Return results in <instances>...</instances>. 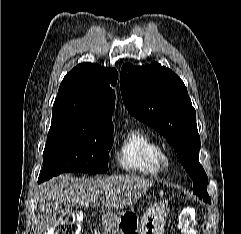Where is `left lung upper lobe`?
I'll return each instance as SVG.
<instances>
[{"mask_svg": "<svg viewBox=\"0 0 241 234\" xmlns=\"http://www.w3.org/2000/svg\"><path fill=\"white\" fill-rule=\"evenodd\" d=\"M122 99L131 115L163 135L178 154L193 182V193L211 203L207 175L199 163L200 137L196 112L183 81L157 62L121 69Z\"/></svg>", "mask_w": 241, "mask_h": 234, "instance_id": "5c2ea615", "label": "left lung upper lobe"}]
</instances>
